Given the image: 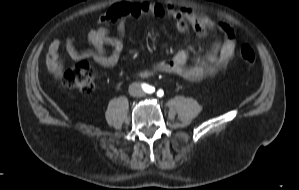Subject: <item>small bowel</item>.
I'll use <instances>...</instances> for the list:
<instances>
[{"label":"small bowel","mask_w":299,"mask_h":190,"mask_svg":"<svg viewBox=\"0 0 299 190\" xmlns=\"http://www.w3.org/2000/svg\"><path fill=\"white\" fill-rule=\"evenodd\" d=\"M145 14L162 17L166 14L177 20V31L183 33L189 26L199 35H204L208 29H216L217 24L206 16H200L187 8H176L164 5L159 1L129 0L111 5L102 15V20L116 28V33L111 34L108 27L102 26L92 29L88 39L93 49L80 51L72 39L66 42V51L74 60L91 59L104 67L116 65L124 48V35L127 19L137 18ZM224 40L216 44L205 59L193 64H188L189 51L187 48L179 49L172 58L155 60L151 63V70L177 75L189 81H197L203 77L214 75L224 68L232 58L236 41L231 28L222 26ZM110 46L112 51L106 52L105 47ZM61 41L53 40L49 45L47 65L50 70L58 66V55Z\"/></svg>","instance_id":"obj_1"}]
</instances>
